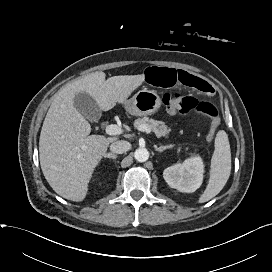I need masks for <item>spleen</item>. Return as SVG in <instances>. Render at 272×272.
Instances as JSON below:
<instances>
[{
    "label": "spleen",
    "instance_id": "1",
    "mask_svg": "<svg viewBox=\"0 0 272 272\" xmlns=\"http://www.w3.org/2000/svg\"><path fill=\"white\" fill-rule=\"evenodd\" d=\"M210 178L204 193L198 202L211 200L224 188L231 173V151L228 135L224 130L217 132L215 150L211 158Z\"/></svg>",
    "mask_w": 272,
    "mask_h": 272
}]
</instances>
